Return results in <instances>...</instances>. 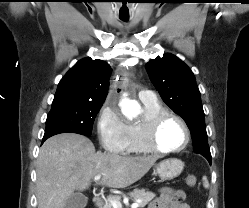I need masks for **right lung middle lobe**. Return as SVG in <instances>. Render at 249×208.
<instances>
[{
	"label": "right lung middle lobe",
	"instance_id": "dd1d6c3e",
	"mask_svg": "<svg viewBox=\"0 0 249 208\" xmlns=\"http://www.w3.org/2000/svg\"><path fill=\"white\" fill-rule=\"evenodd\" d=\"M103 103L76 102L52 106L45 133L72 132L90 136L94 119Z\"/></svg>",
	"mask_w": 249,
	"mask_h": 208
}]
</instances>
